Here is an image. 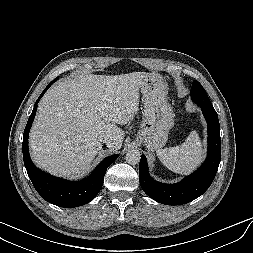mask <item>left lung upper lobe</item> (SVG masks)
Listing matches in <instances>:
<instances>
[{"label":"left lung upper lobe","mask_w":253,"mask_h":253,"mask_svg":"<svg viewBox=\"0 0 253 253\" xmlns=\"http://www.w3.org/2000/svg\"><path fill=\"white\" fill-rule=\"evenodd\" d=\"M192 100L200 106H213L208 98L206 91L198 81H193L191 88Z\"/></svg>","instance_id":"5c2ea615"}]
</instances>
